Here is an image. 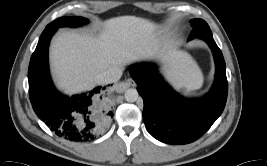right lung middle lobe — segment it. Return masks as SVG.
Wrapping results in <instances>:
<instances>
[{
    "label": "right lung middle lobe",
    "mask_w": 267,
    "mask_h": 166,
    "mask_svg": "<svg viewBox=\"0 0 267 166\" xmlns=\"http://www.w3.org/2000/svg\"><path fill=\"white\" fill-rule=\"evenodd\" d=\"M87 22H88L87 19H85L83 17H76V16H74V17H61V18L54 20L50 24H48L46 26V28H49V27L59 28V27H64V26L78 27V26L86 24Z\"/></svg>",
    "instance_id": "1"
}]
</instances>
